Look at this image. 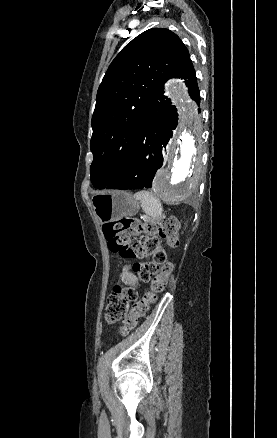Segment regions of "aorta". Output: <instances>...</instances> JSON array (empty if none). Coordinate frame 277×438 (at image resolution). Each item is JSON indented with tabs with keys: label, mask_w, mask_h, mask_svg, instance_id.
I'll list each match as a JSON object with an SVG mask.
<instances>
[{
	"label": "aorta",
	"mask_w": 277,
	"mask_h": 438,
	"mask_svg": "<svg viewBox=\"0 0 277 438\" xmlns=\"http://www.w3.org/2000/svg\"><path fill=\"white\" fill-rule=\"evenodd\" d=\"M171 87L179 100V127L168 148L167 164L155 176L153 190L164 201L176 203L190 197L199 184L200 129L195 106L187 98L182 81L174 82Z\"/></svg>",
	"instance_id": "obj_1"
}]
</instances>
